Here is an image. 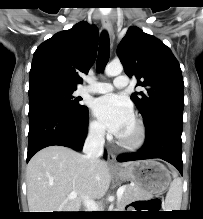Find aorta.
<instances>
[{"label":"aorta","mask_w":203,"mask_h":219,"mask_svg":"<svg viewBox=\"0 0 203 219\" xmlns=\"http://www.w3.org/2000/svg\"><path fill=\"white\" fill-rule=\"evenodd\" d=\"M123 71V66L120 62H111L105 67V74L108 77H113L121 74Z\"/></svg>","instance_id":"1"}]
</instances>
